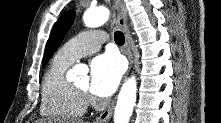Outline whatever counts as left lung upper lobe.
<instances>
[{
  "label": "left lung upper lobe",
  "instance_id": "5c2ea615",
  "mask_svg": "<svg viewBox=\"0 0 221 123\" xmlns=\"http://www.w3.org/2000/svg\"><path fill=\"white\" fill-rule=\"evenodd\" d=\"M75 19V11L70 10L64 13L54 24L50 37L45 48V55L42 66L44 67L54 52L60 46L64 36L73 24Z\"/></svg>",
  "mask_w": 221,
  "mask_h": 123
}]
</instances>
